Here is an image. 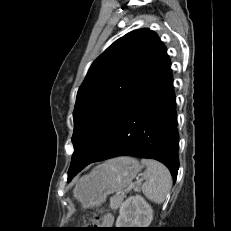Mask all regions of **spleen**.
Wrapping results in <instances>:
<instances>
[{"instance_id": "3e777b00", "label": "spleen", "mask_w": 231, "mask_h": 231, "mask_svg": "<svg viewBox=\"0 0 231 231\" xmlns=\"http://www.w3.org/2000/svg\"><path fill=\"white\" fill-rule=\"evenodd\" d=\"M141 163L146 166L143 174L145 182L141 187L143 194L154 203H163L172 185L169 170L160 162L152 159H142Z\"/></svg>"}]
</instances>
